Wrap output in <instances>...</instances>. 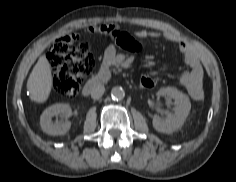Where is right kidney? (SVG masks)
<instances>
[{"label":"right kidney","instance_id":"1","mask_svg":"<svg viewBox=\"0 0 236 182\" xmlns=\"http://www.w3.org/2000/svg\"><path fill=\"white\" fill-rule=\"evenodd\" d=\"M71 115L72 110L68 104L58 103L48 107L40 117L42 131L52 136L66 134L71 127V123L68 121ZM54 116H61L63 121L53 123L52 117Z\"/></svg>","mask_w":236,"mask_h":182}]
</instances>
